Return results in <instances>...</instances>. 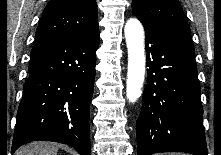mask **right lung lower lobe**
Instances as JSON below:
<instances>
[{"mask_svg": "<svg viewBox=\"0 0 221 155\" xmlns=\"http://www.w3.org/2000/svg\"><path fill=\"white\" fill-rule=\"evenodd\" d=\"M99 29L36 40L18 108L12 153L36 140L90 155L89 110Z\"/></svg>", "mask_w": 221, "mask_h": 155, "instance_id": "98d812e1", "label": "right lung lower lobe"}]
</instances>
